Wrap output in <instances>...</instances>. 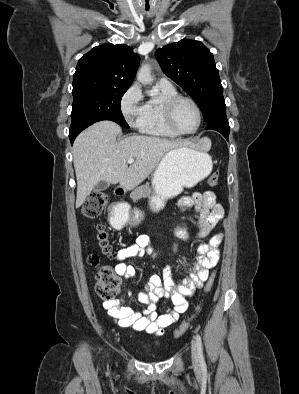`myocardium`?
Returning a JSON list of instances; mask_svg holds the SVG:
<instances>
[{"instance_id": "obj_1", "label": "myocardium", "mask_w": 299, "mask_h": 394, "mask_svg": "<svg viewBox=\"0 0 299 394\" xmlns=\"http://www.w3.org/2000/svg\"><path fill=\"white\" fill-rule=\"evenodd\" d=\"M181 101L189 102L194 107V109L197 113V116H198L197 126L194 130H192L190 132H184V131H181L180 129H178V127L176 126L175 121H174L175 108ZM162 114H163V119H164V123H165L166 127L170 131L175 133L176 135H181V136L192 135L199 130V128L201 127V124H202V112H201L200 107L192 98L187 97V96L176 95V96L168 99L167 101H165L162 106Z\"/></svg>"}]
</instances>
